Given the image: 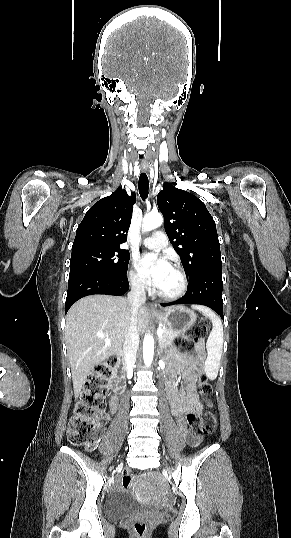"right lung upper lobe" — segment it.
<instances>
[{
	"label": "right lung upper lobe",
	"mask_w": 291,
	"mask_h": 538,
	"mask_svg": "<svg viewBox=\"0 0 291 538\" xmlns=\"http://www.w3.org/2000/svg\"><path fill=\"white\" fill-rule=\"evenodd\" d=\"M135 200V193L129 197L118 188L96 202L79 224L72 250L93 245L120 247L126 241Z\"/></svg>",
	"instance_id": "cb5924a9"
}]
</instances>
